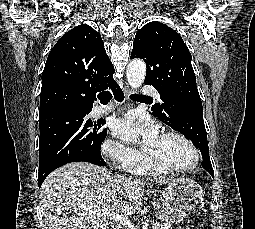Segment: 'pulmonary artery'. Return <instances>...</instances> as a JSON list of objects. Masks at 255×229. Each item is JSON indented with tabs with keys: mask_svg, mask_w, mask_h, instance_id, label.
I'll return each mask as SVG.
<instances>
[{
	"mask_svg": "<svg viewBox=\"0 0 255 229\" xmlns=\"http://www.w3.org/2000/svg\"><path fill=\"white\" fill-rule=\"evenodd\" d=\"M144 92L147 93V94H152L154 95L155 97H158V92L157 90L152 87V86H148L144 89ZM114 108V105L113 104H108V105H104V106H100L96 109V113L97 114H104V113H107L111 110H113Z\"/></svg>",
	"mask_w": 255,
	"mask_h": 229,
	"instance_id": "e3ab8cb5",
	"label": "pulmonary artery"
}]
</instances>
